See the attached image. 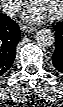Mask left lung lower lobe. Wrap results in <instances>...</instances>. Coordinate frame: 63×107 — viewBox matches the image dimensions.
<instances>
[{"label": "left lung lower lobe", "instance_id": "1", "mask_svg": "<svg viewBox=\"0 0 63 107\" xmlns=\"http://www.w3.org/2000/svg\"><path fill=\"white\" fill-rule=\"evenodd\" d=\"M56 34V47L52 62L57 70L63 73V21L54 27Z\"/></svg>", "mask_w": 63, "mask_h": 107}]
</instances>
